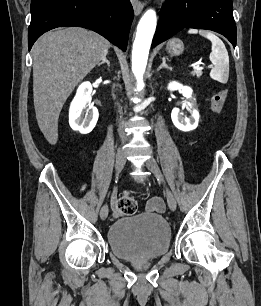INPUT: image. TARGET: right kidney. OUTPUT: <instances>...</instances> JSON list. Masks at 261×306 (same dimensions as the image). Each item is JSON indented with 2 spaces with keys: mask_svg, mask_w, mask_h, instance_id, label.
<instances>
[{
  "mask_svg": "<svg viewBox=\"0 0 261 306\" xmlns=\"http://www.w3.org/2000/svg\"><path fill=\"white\" fill-rule=\"evenodd\" d=\"M91 92V83H82L78 87L69 109L70 127L75 131H79L81 134L90 133L95 127L99 116L97 108L88 104ZM83 112L86 113L85 117L82 116Z\"/></svg>",
  "mask_w": 261,
  "mask_h": 306,
  "instance_id": "obj_1",
  "label": "right kidney"
}]
</instances>
